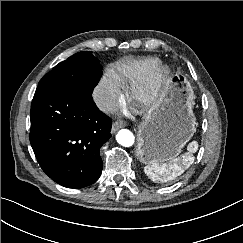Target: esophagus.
I'll return each instance as SVG.
<instances>
[{
    "mask_svg": "<svg viewBox=\"0 0 243 243\" xmlns=\"http://www.w3.org/2000/svg\"><path fill=\"white\" fill-rule=\"evenodd\" d=\"M125 126V123L124 122H115L113 125H112V130L111 132L112 133H115L117 132L120 128L124 127Z\"/></svg>",
    "mask_w": 243,
    "mask_h": 243,
    "instance_id": "obj_1",
    "label": "esophagus"
}]
</instances>
